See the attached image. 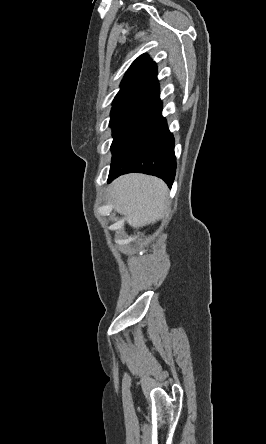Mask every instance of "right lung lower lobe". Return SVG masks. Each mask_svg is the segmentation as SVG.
<instances>
[{
  "instance_id": "1",
  "label": "right lung lower lobe",
  "mask_w": 266,
  "mask_h": 444,
  "mask_svg": "<svg viewBox=\"0 0 266 444\" xmlns=\"http://www.w3.org/2000/svg\"><path fill=\"white\" fill-rule=\"evenodd\" d=\"M131 172L157 176L171 188L176 172L174 138L161 114L112 157L108 182Z\"/></svg>"
}]
</instances>
